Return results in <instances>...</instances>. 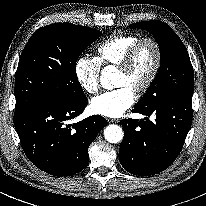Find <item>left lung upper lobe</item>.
I'll list each match as a JSON object with an SVG mask.
<instances>
[{"label": "left lung upper lobe", "instance_id": "1", "mask_svg": "<svg viewBox=\"0 0 206 206\" xmlns=\"http://www.w3.org/2000/svg\"><path fill=\"white\" fill-rule=\"evenodd\" d=\"M129 27L152 33L160 46L161 57L157 77L136 107L144 108L172 97L192 96L193 67L183 42L170 26L159 20H153L134 23Z\"/></svg>", "mask_w": 206, "mask_h": 206}]
</instances>
